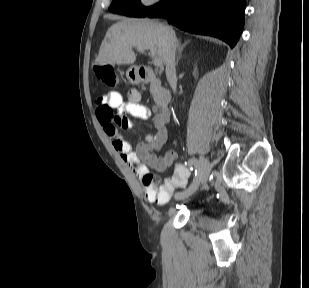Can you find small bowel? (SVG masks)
I'll list each match as a JSON object with an SVG mask.
<instances>
[{
	"label": "small bowel",
	"mask_w": 309,
	"mask_h": 288,
	"mask_svg": "<svg viewBox=\"0 0 309 288\" xmlns=\"http://www.w3.org/2000/svg\"><path fill=\"white\" fill-rule=\"evenodd\" d=\"M97 117L103 127L104 133L110 139L112 146L121 158L133 169L138 176H143L148 172L147 165L157 171H165L175 163L177 155L174 151H169L163 156H157L152 151L159 150L168 140L167 123L169 115L166 111L156 110L154 117L155 132H147L145 141L137 144L132 149L127 139L120 133L119 127L131 128L133 122L130 120L123 126L117 125L113 121L109 109H118L125 114L138 119H148L151 111L148 107L140 103V95L136 90L129 91L127 101H123L122 95L117 91H110L97 100ZM105 108L104 112L100 108ZM181 164H176L173 175L166 179L158 189L145 188L144 194L147 201L157 204H165L178 188L186 186L189 172Z\"/></svg>",
	"instance_id": "small-bowel-1"
}]
</instances>
